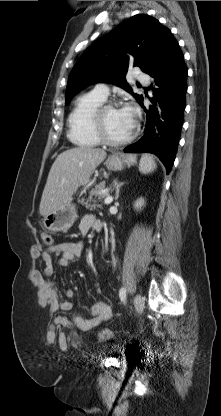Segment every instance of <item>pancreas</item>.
<instances>
[{
	"label": "pancreas",
	"instance_id": "cf45deb5",
	"mask_svg": "<svg viewBox=\"0 0 221 416\" xmlns=\"http://www.w3.org/2000/svg\"><path fill=\"white\" fill-rule=\"evenodd\" d=\"M107 196H108V193L104 191V185L103 184L96 185V187L90 191L89 198L84 203V205L87 209H90V210L101 208L102 204H99L98 202L102 201Z\"/></svg>",
	"mask_w": 221,
	"mask_h": 416
}]
</instances>
